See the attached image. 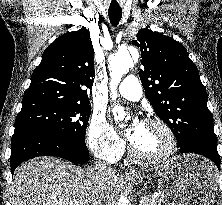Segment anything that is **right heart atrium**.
I'll list each match as a JSON object with an SVG mask.
<instances>
[{
    "label": "right heart atrium",
    "instance_id": "obj_1",
    "mask_svg": "<svg viewBox=\"0 0 222 205\" xmlns=\"http://www.w3.org/2000/svg\"><path fill=\"white\" fill-rule=\"evenodd\" d=\"M86 137L90 151L100 160L113 162L123 153V141L101 114L92 115Z\"/></svg>",
    "mask_w": 222,
    "mask_h": 205
}]
</instances>
